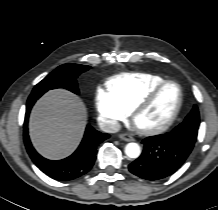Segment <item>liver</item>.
<instances>
[{"mask_svg":"<svg viewBox=\"0 0 218 210\" xmlns=\"http://www.w3.org/2000/svg\"><path fill=\"white\" fill-rule=\"evenodd\" d=\"M86 119V107L76 95L64 89L51 90L31 112V141L44 157L64 158L80 143Z\"/></svg>","mask_w":218,"mask_h":210,"instance_id":"6515ba94","label":"liver"}]
</instances>
